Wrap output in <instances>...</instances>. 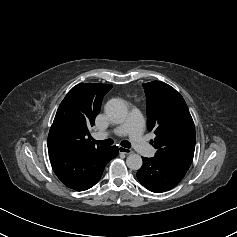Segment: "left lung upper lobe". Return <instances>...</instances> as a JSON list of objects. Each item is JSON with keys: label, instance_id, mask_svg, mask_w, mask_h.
Listing matches in <instances>:
<instances>
[{"label": "left lung upper lobe", "instance_id": "obj_1", "mask_svg": "<svg viewBox=\"0 0 237 237\" xmlns=\"http://www.w3.org/2000/svg\"><path fill=\"white\" fill-rule=\"evenodd\" d=\"M147 102V126L156 135L155 158L189 169L195 149V127L183 97L170 85L143 84Z\"/></svg>", "mask_w": 237, "mask_h": 237}]
</instances>
